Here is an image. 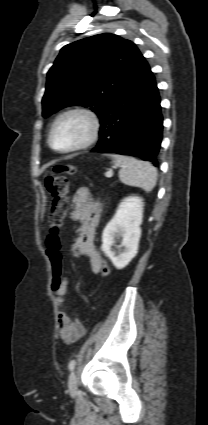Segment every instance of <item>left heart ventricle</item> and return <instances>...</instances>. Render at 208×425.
<instances>
[{"label": "left heart ventricle", "instance_id": "b2bd125f", "mask_svg": "<svg viewBox=\"0 0 208 425\" xmlns=\"http://www.w3.org/2000/svg\"><path fill=\"white\" fill-rule=\"evenodd\" d=\"M89 132L88 121L78 115L63 119L55 129L53 145L57 148H68L81 143Z\"/></svg>", "mask_w": 208, "mask_h": 425}]
</instances>
